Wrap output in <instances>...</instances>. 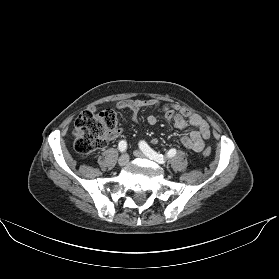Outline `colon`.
I'll return each mask as SVG.
<instances>
[{
    "mask_svg": "<svg viewBox=\"0 0 279 279\" xmlns=\"http://www.w3.org/2000/svg\"><path fill=\"white\" fill-rule=\"evenodd\" d=\"M118 115L112 109H105L100 112L86 110L80 113L74 125V149L81 158L90 156L95 150L103 147L107 137L116 128ZM204 156L211 153L206 147L202 151Z\"/></svg>",
    "mask_w": 279,
    "mask_h": 279,
    "instance_id": "5ec220e1",
    "label": "colon"
}]
</instances>
